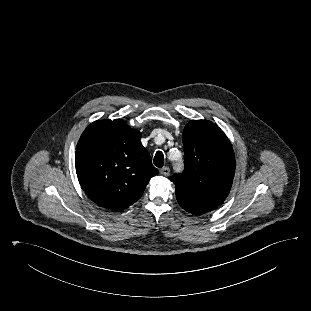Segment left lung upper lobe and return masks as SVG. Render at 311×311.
Segmentation results:
<instances>
[{
  "label": "left lung upper lobe",
  "instance_id": "1",
  "mask_svg": "<svg viewBox=\"0 0 311 311\" xmlns=\"http://www.w3.org/2000/svg\"><path fill=\"white\" fill-rule=\"evenodd\" d=\"M185 168L170 180L191 198L220 205L228 196L235 156L224 132L208 120H192L184 128Z\"/></svg>",
  "mask_w": 311,
  "mask_h": 311
}]
</instances>
